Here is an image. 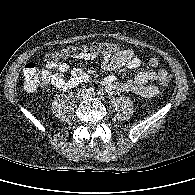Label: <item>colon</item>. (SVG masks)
I'll use <instances>...</instances> for the list:
<instances>
[{
    "label": "colon",
    "instance_id": "obj_1",
    "mask_svg": "<svg viewBox=\"0 0 195 195\" xmlns=\"http://www.w3.org/2000/svg\"><path fill=\"white\" fill-rule=\"evenodd\" d=\"M115 44L109 42H96L86 46H71L57 52L49 53L45 56L43 62L46 66L51 67L58 64L62 59L75 57L80 53H99L106 54L117 51ZM24 86L28 91H35L40 86L44 85L49 80V73L40 68L39 64L30 62L26 64L23 70ZM172 76L169 73H164L159 78L161 86L170 84Z\"/></svg>",
    "mask_w": 195,
    "mask_h": 195
}]
</instances>
